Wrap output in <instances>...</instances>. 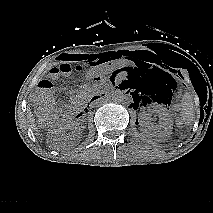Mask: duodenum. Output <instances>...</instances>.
<instances>
[{
  "label": "duodenum",
  "mask_w": 213,
  "mask_h": 213,
  "mask_svg": "<svg viewBox=\"0 0 213 213\" xmlns=\"http://www.w3.org/2000/svg\"><path fill=\"white\" fill-rule=\"evenodd\" d=\"M106 97H107V94L104 91L101 93H97L90 99L89 104H93V103L102 101ZM71 112H73L75 114L76 118H78L84 113V109L79 106H72V110L70 112H68V114H71Z\"/></svg>",
  "instance_id": "obj_1"
}]
</instances>
